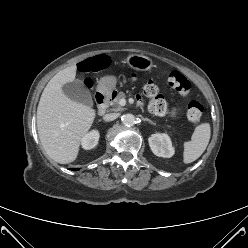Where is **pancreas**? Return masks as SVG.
Instances as JSON below:
<instances>
[{"label":"pancreas","instance_id":"pancreas-1","mask_svg":"<svg viewBox=\"0 0 248 248\" xmlns=\"http://www.w3.org/2000/svg\"><path fill=\"white\" fill-rule=\"evenodd\" d=\"M125 94L123 92H119L117 96L111 101V105L113 106L114 111H120L122 110L121 105L119 104V101L124 98Z\"/></svg>","mask_w":248,"mask_h":248}]
</instances>
